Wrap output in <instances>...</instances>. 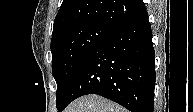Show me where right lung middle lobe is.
Masks as SVG:
<instances>
[{
	"mask_svg": "<svg viewBox=\"0 0 193 112\" xmlns=\"http://www.w3.org/2000/svg\"><path fill=\"white\" fill-rule=\"evenodd\" d=\"M111 31L112 29L97 24H79L52 36V71L57 83V110L64 104L82 64Z\"/></svg>",
	"mask_w": 193,
	"mask_h": 112,
	"instance_id": "dd1d6c3e",
	"label": "right lung middle lobe"
}]
</instances>
